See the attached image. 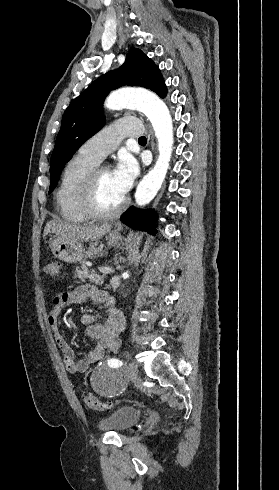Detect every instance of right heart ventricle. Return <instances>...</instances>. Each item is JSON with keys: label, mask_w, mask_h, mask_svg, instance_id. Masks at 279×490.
I'll return each instance as SVG.
<instances>
[{"label": "right heart ventricle", "mask_w": 279, "mask_h": 490, "mask_svg": "<svg viewBox=\"0 0 279 490\" xmlns=\"http://www.w3.org/2000/svg\"><path fill=\"white\" fill-rule=\"evenodd\" d=\"M97 166L81 154L64 166L57 190V203L62 218L71 224H84L91 217L83 206V195L89 173Z\"/></svg>", "instance_id": "1"}]
</instances>
